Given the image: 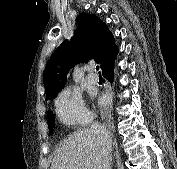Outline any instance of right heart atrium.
<instances>
[{"instance_id": "d8ad5b80", "label": "right heart atrium", "mask_w": 177, "mask_h": 169, "mask_svg": "<svg viewBox=\"0 0 177 169\" xmlns=\"http://www.w3.org/2000/svg\"><path fill=\"white\" fill-rule=\"evenodd\" d=\"M58 119L66 126H81L91 120V113L85 107L81 95L69 88L63 89L55 100Z\"/></svg>"}]
</instances>
